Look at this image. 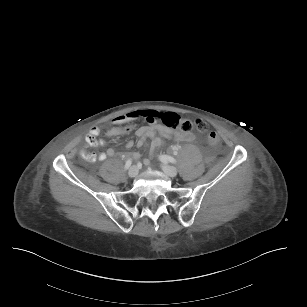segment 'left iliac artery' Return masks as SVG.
I'll return each instance as SVG.
<instances>
[{
    "instance_id": "left-iliac-artery-1",
    "label": "left iliac artery",
    "mask_w": 307,
    "mask_h": 307,
    "mask_svg": "<svg viewBox=\"0 0 307 307\" xmlns=\"http://www.w3.org/2000/svg\"><path fill=\"white\" fill-rule=\"evenodd\" d=\"M159 159L164 162V163H167V162H170V163H173L175 164L176 163V160L175 158L171 157V156H168V155H161L159 156Z\"/></svg>"
}]
</instances>
